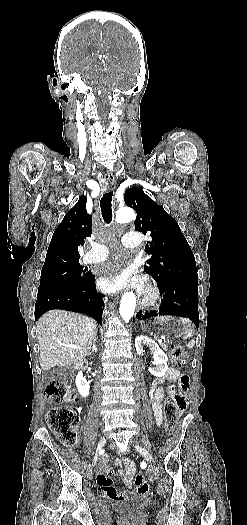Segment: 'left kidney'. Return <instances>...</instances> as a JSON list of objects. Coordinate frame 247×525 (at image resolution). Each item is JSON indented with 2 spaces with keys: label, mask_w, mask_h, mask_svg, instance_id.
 Masks as SVG:
<instances>
[{
  "label": "left kidney",
  "mask_w": 247,
  "mask_h": 525,
  "mask_svg": "<svg viewBox=\"0 0 247 525\" xmlns=\"http://www.w3.org/2000/svg\"><path fill=\"white\" fill-rule=\"evenodd\" d=\"M144 345H147L151 353L154 355L153 365H155V367L149 369L151 375H154V377H164L168 369L167 355L163 353L162 349H159L155 341H152V339H149V337H143V335H139V337H136L135 339V347L138 355H143Z\"/></svg>",
  "instance_id": "left-kidney-1"
}]
</instances>
